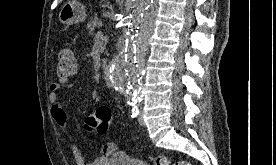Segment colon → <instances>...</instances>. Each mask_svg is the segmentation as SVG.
<instances>
[{
  "instance_id": "5ec220e1",
  "label": "colon",
  "mask_w": 276,
  "mask_h": 165,
  "mask_svg": "<svg viewBox=\"0 0 276 165\" xmlns=\"http://www.w3.org/2000/svg\"><path fill=\"white\" fill-rule=\"evenodd\" d=\"M77 72V64L71 49H63L58 53L56 73L60 78L69 79ZM111 111L106 107L96 109L85 122L86 128L96 135H104L109 127ZM153 165H191L186 161L171 163L165 156L151 157Z\"/></svg>"
}]
</instances>
